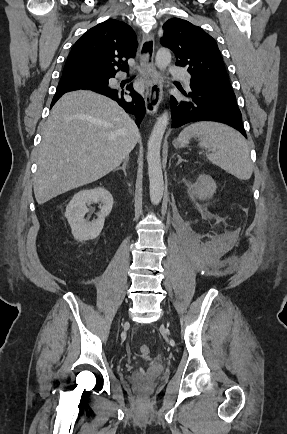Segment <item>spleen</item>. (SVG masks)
Masks as SVG:
<instances>
[{
  "label": "spleen",
  "instance_id": "1",
  "mask_svg": "<svg viewBox=\"0 0 287 434\" xmlns=\"http://www.w3.org/2000/svg\"><path fill=\"white\" fill-rule=\"evenodd\" d=\"M180 136H195L206 157L214 165L240 180L250 179L253 165L244 137L222 123L202 121L187 126Z\"/></svg>",
  "mask_w": 287,
  "mask_h": 434
}]
</instances>
